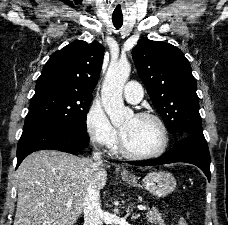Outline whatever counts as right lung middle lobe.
<instances>
[{"mask_svg":"<svg viewBox=\"0 0 228 225\" xmlns=\"http://www.w3.org/2000/svg\"><path fill=\"white\" fill-rule=\"evenodd\" d=\"M92 97V94L57 84L36 86L25 124L60 122L87 132L86 114Z\"/></svg>","mask_w":228,"mask_h":225,"instance_id":"right-lung-middle-lobe-1","label":"right lung middle lobe"}]
</instances>
